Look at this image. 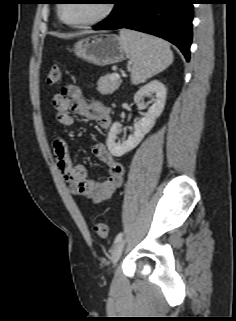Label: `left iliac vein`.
Masks as SVG:
<instances>
[{"instance_id":"left-iliac-vein-1","label":"left iliac vein","mask_w":236,"mask_h":321,"mask_svg":"<svg viewBox=\"0 0 236 321\" xmlns=\"http://www.w3.org/2000/svg\"><path fill=\"white\" fill-rule=\"evenodd\" d=\"M124 244H125L124 239H121L113 247V250H112V253H111V262H112V264H116L118 262V260L120 259L122 251H123V248H124Z\"/></svg>"}]
</instances>
